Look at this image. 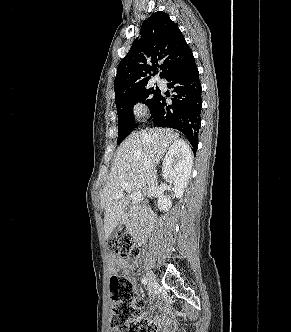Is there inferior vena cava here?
Listing matches in <instances>:
<instances>
[{
  "mask_svg": "<svg viewBox=\"0 0 291 332\" xmlns=\"http://www.w3.org/2000/svg\"><path fill=\"white\" fill-rule=\"evenodd\" d=\"M147 183H148V197H152L156 194L157 192V176H156V170L152 169L151 172L148 175L147 178Z\"/></svg>",
  "mask_w": 291,
  "mask_h": 332,
  "instance_id": "602c4592",
  "label": "inferior vena cava"
}]
</instances>
